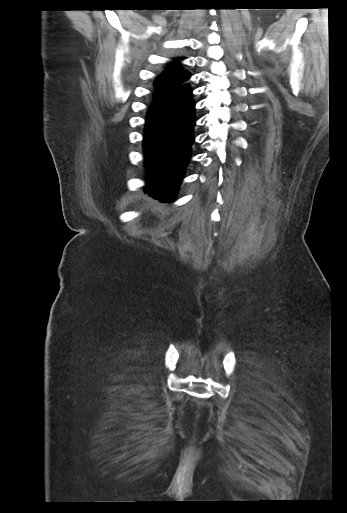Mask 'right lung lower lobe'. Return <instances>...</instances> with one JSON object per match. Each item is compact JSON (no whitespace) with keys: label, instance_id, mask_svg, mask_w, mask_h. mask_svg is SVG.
Returning <instances> with one entry per match:
<instances>
[{"label":"right lung lower lobe","instance_id":"right-lung-lower-lobe-1","mask_svg":"<svg viewBox=\"0 0 347 513\" xmlns=\"http://www.w3.org/2000/svg\"><path fill=\"white\" fill-rule=\"evenodd\" d=\"M195 102L185 84L166 96H156L146 117L145 162L149 194L171 200L182 180L194 141Z\"/></svg>","mask_w":347,"mask_h":513}]
</instances>
